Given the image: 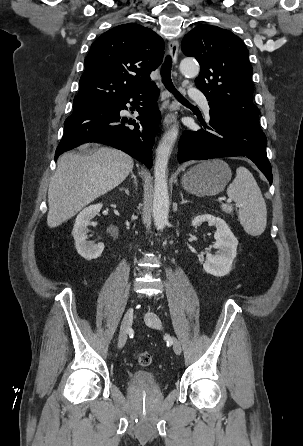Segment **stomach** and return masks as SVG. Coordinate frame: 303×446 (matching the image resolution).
Returning <instances> with one entry per match:
<instances>
[{
    "instance_id": "stomach-1",
    "label": "stomach",
    "mask_w": 303,
    "mask_h": 446,
    "mask_svg": "<svg viewBox=\"0 0 303 446\" xmlns=\"http://www.w3.org/2000/svg\"><path fill=\"white\" fill-rule=\"evenodd\" d=\"M232 177L231 169L222 160L203 161L182 177L183 188L195 195L212 196L224 190Z\"/></svg>"
}]
</instances>
